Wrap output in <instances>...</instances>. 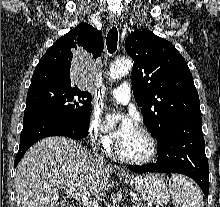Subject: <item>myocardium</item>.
<instances>
[{"instance_id": "obj_1", "label": "myocardium", "mask_w": 220, "mask_h": 207, "mask_svg": "<svg viewBox=\"0 0 220 207\" xmlns=\"http://www.w3.org/2000/svg\"><path fill=\"white\" fill-rule=\"evenodd\" d=\"M136 129L140 131L147 138L149 145H150L149 153L144 158H140V159L129 158L122 154V152L120 151L119 145L117 143L115 146V155L117 156L119 160L125 163L132 164V165H144V164H147L153 161L154 158L156 157L157 141L154 135L152 134V132L148 128L144 126H138L136 127Z\"/></svg>"}]
</instances>
